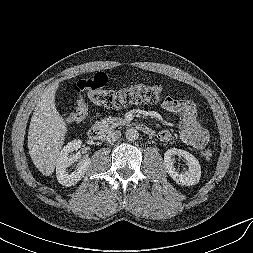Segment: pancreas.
<instances>
[{
  "mask_svg": "<svg viewBox=\"0 0 253 253\" xmlns=\"http://www.w3.org/2000/svg\"><path fill=\"white\" fill-rule=\"evenodd\" d=\"M126 121L122 118L116 117H108L104 118L101 121L96 122V126H98L102 131H107L113 129L119 125H125Z\"/></svg>",
  "mask_w": 253,
  "mask_h": 253,
  "instance_id": "pancreas-1",
  "label": "pancreas"
}]
</instances>
